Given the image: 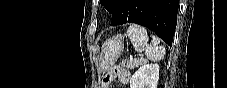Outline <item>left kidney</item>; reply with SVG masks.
<instances>
[{
    "label": "left kidney",
    "mask_w": 227,
    "mask_h": 88,
    "mask_svg": "<svg viewBox=\"0 0 227 88\" xmlns=\"http://www.w3.org/2000/svg\"><path fill=\"white\" fill-rule=\"evenodd\" d=\"M159 79L158 64H144L132 76L130 88H157Z\"/></svg>",
    "instance_id": "obj_1"
}]
</instances>
